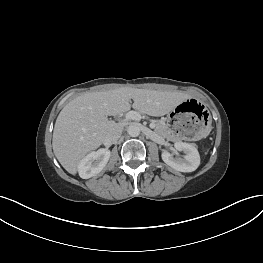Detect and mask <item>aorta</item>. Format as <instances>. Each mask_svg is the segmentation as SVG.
Here are the masks:
<instances>
[{"label":"aorta","mask_w":263,"mask_h":263,"mask_svg":"<svg viewBox=\"0 0 263 263\" xmlns=\"http://www.w3.org/2000/svg\"><path fill=\"white\" fill-rule=\"evenodd\" d=\"M140 127L137 124H132L127 128V133L131 136V137H137L140 134Z\"/></svg>","instance_id":"1"}]
</instances>
